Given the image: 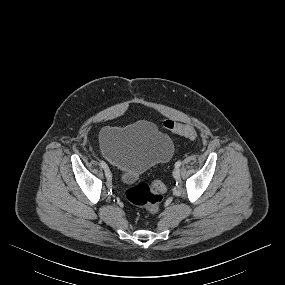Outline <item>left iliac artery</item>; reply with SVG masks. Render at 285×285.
Masks as SVG:
<instances>
[{"label": "left iliac artery", "mask_w": 285, "mask_h": 285, "mask_svg": "<svg viewBox=\"0 0 285 285\" xmlns=\"http://www.w3.org/2000/svg\"><path fill=\"white\" fill-rule=\"evenodd\" d=\"M181 163H182L181 161H177V162L175 163V167H176V168L180 167Z\"/></svg>", "instance_id": "1"}]
</instances>
